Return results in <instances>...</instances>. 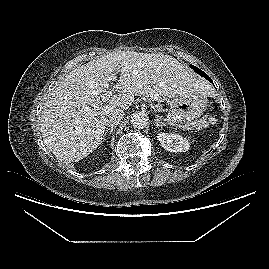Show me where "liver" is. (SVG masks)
<instances>
[{
  "label": "liver",
  "instance_id": "obj_1",
  "mask_svg": "<svg viewBox=\"0 0 269 269\" xmlns=\"http://www.w3.org/2000/svg\"><path fill=\"white\" fill-rule=\"evenodd\" d=\"M118 78L106 102L101 96ZM191 92L207 96L205 81L162 54L118 51L94 59L65 75L45 102L40 119L46 147L64 163L77 162L102 142L105 118L114 109H128L135 96L164 102Z\"/></svg>",
  "mask_w": 269,
  "mask_h": 269
}]
</instances>
